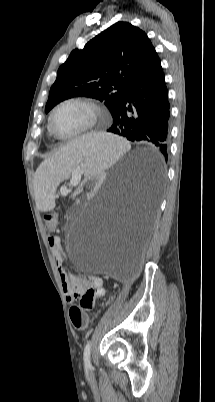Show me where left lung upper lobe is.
I'll return each mask as SVG.
<instances>
[{
    "instance_id": "left-lung-upper-lobe-1",
    "label": "left lung upper lobe",
    "mask_w": 215,
    "mask_h": 402,
    "mask_svg": "<svg viewBox=\"0 0 215 402\" xmlns=\"http://www.w3.org/2000/svg\"><path fill=\"white\" fill-rule=\"evenodd\" d=\"M158 59L144 31L117 22L71 52L58 69L45 112L68 98L86 96L104 101L113 114L131 83Z\"/></svg>"
}]
</instances>
